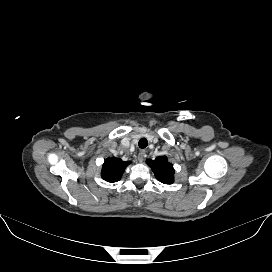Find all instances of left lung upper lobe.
<instances>
[{
	"mask_svg": "<svg viewBox=\"0 0 272 272\" xmlns=\"http://www.w3.org/2000/svg\"><path fill=\"white\" fill-rule=\"evenodd\" d=\"M147 164L151 167L155 177L164 184L174 182V168L168 162L166 156H159L155 160L148 159Z\"/></svg>",
	"mask_w": 272,
	"mask_h": 272,
	"instance_id": "left-lung-upper-lobe-1",
	"label": "left lung upper lobe"
}]
</instances>
